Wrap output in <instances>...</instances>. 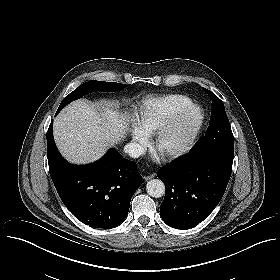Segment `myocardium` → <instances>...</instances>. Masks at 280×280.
<instances>
[{
  "label": "myocardium",
  "mask_w": 280,
  "mask_h": 280,
  "mask_svg": "<svg viewBox=\"0 0 280 280\" xmlns=\"http://www.w3.org/2000/svg\"><path fill=\"white\" fill-rule=\"evenodd\" d=\"M198 111L194 105L188 106L180 115L189 114ZM178 124V116H175L169 123L161 128L152 142L151 152L153 155L161 158H171L181 154L191 143L193 138L199 133L202 126V117L200 116L189 126L178 127V137L168 148H163L162 143L170 136L175 126Z\"/></svg>",
  "instance_id": "f54148a6"
}]
</instances>
